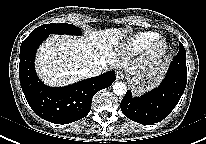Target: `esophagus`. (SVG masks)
Wrapping results in <instances>:
<instances>
[{"label": "esophagus", "mask_w": 206, "mask_h": 144, "mask_svg": "<svg viewBox=\"0 0 206 144\" xmlns=\"http://www.w3.org/2000/svg\"><path fill=\"white\" fill-rule=\"evenodd\" d=\"M124 78V74L121 71L116 72V79L122 80Z\"/></svg>", "instance_id": "esophagus-1"}]
</instances>
